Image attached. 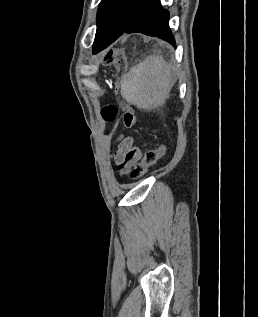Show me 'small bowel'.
<instances>
[{
    "label": "small bowel",
    "mask_w": 258,
    "mask_h": 317,
    "mask_svg": "<svg viewBox=\"0 0 258 317\" xmlns=\"http://www.w3.org/2000/svg\"><path fill=\"white\" fill-rule=\"evenodd\" d=\"M117 146V150L112 155V160L118 167L119 173L125 175L140 160L142 151L135 145L134 139L129 136H121Z\"/></svg>",
    "instance_id": "obj_1"
}]
</instances>
